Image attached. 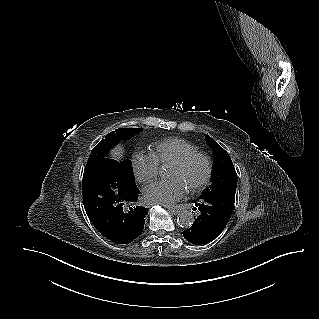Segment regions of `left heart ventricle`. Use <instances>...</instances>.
I'll list each match as a JSON object with an SVG mask.
<instances>
[{
    "instance_id": "obj_1",
    "label": "left heart ventricle",
    "mask_w": 319,
    "mask_h": 319,
    "mask_svg": "<svg viewBox=\"0 0 319 319\" xmlns=\"http://www.w3.org/2000/svg\"><path fill=\"white\" fill-rule=\"evenodd\" d=\"M206 167L202 159H194L183 167L169 166L167 177L180 179L186 187L190 188L198 184L204 177Z\"/></svg>"
}]
</instances>
